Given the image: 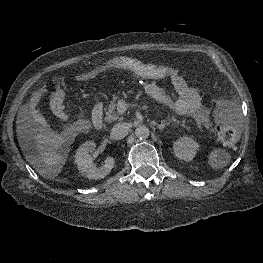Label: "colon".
<instances>
[{
	"label": "colon",
	"instance_id": "1",
	"mask_svg": "<svg viewBox=\"0 0 263 263\" xmlns=\"http://www.w3.org/2000/svg\"><path fill=\"white\" fill-rule=\"evenodd\" d=\"M108 68H120L129 70L139 76L147 78H166L171 75L179 74L176 68L167 65H156L144 63L138 59L118 56L108 60L103 65H100L92 70L79 74L76 78L77 80H86L94 77L98 73L108 69ZM54 92L53 101L56 109V114L61 118L65 119L66 116L60 109L59 102L63 94V78L61 76L53 78ZM218 137L221 143L227 147H234L238 139V133L236 129L226 120L225 118H219L217 124Z\"/></svg>",
	"mask_w": 263,
	"mask_h": 263
}]
</instances>
